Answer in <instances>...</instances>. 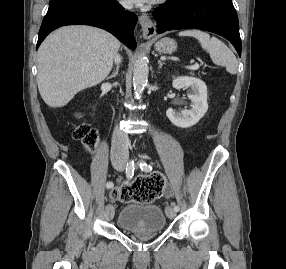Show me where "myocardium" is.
I'll return each instance as SVG.
<instances>
[{
    "label": "myocardium",
    "instance_id": "myocardium-1",
    "mask_svg": "<svg viewBox=\"0 0 286 269\" xmlns=\"http://www.w3.org/2000/svg\"><path fill=\"white\" fill-rule=\"evenodd\" d=\"M159 2H163V1H166V0H158Z\"/></svg>",
    "mask_w": 286,
    "mask_h": 269
}]
</instances>
